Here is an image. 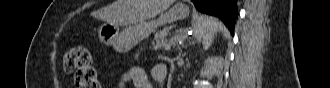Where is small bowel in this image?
Returning <instances> with one entry per match:
<instances>
[{
    "label": "small bowel",
    "mask_w": 330,
    "mask_h": 88,
    "mask_svg": "<svg viewBox=\"0 0 330 88\" xmlns=\"http://www.w3.org/2000/svg\"><path fill=\"white\" fill-rule=\"evenodd\" d=\"M167 73V67L163 64H157L151 68V77L158 84L166 81ZM128 84H132L136 88L155 87L148 79L144 69L139 66H131L121 75L119 86L125 87Z\"/></svg>",
    "instance_id": "obj_1"
}]
</instances>
